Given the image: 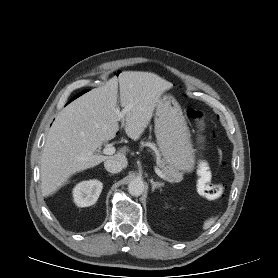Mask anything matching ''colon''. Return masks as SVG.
<instances>
[{
	"label": "colon",
	"mask_w": 278,
	"mask_h": 278,
	"mask_svg": "<svg viewBox=\"0 0 278 278\" xmlns=\"http://www.w3.org/2000/svg\"><path fill=\"white\" fill-rule=\"evenodd\" d=\"M189 118L193 119L202 128L204 125V114L200 110L190 108L187 110ZM202 140V139H201ZM200 190L202 194L210 199H217L224 193L222 183H212L209 180V170L206 166L200 167Z\"/></svg>",
	"instance_id": "obj_1"
}]
</instances>
